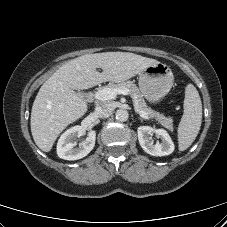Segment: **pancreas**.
Wrapping results in <instances>:
<instances>
[{
    "label": "pancreas",
    "mask_w": 227,
    "mask_h": 227,
    "mask_svg": "<svg viewBox=\"0 0 227 227\" xmlns=\"http://www.w3.org/2000/svg\"><path fill=\"white\" fill-rule=\"evenodd\" d=\"M109 88L116 89H128L129 94L131 95L135 106L140 110L147 113V115L151 118H155L161 125L165 128L173 131V119L171 117H165L163 114L152 110L150 107L146 105V102L139 90V88L131 81H125L118 84H109Z\"/></svg>",
    "instance_id": "cf45deb5"
}]
</instances>
